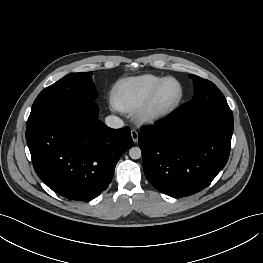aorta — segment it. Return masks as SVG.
I'll list each match as a JSON object with an SVG mask.
<instances>
[{
	"mask_svg": "<svg viewBox=\"0 0 263 263\" xmlns=\"http://www.w3.org/2000/svg\"><path fill=\"white\" fill-rule=\"evenodd\" d=\"M129 156L132 159H139L141 157V150H140V148L139 147H132L129 150Z\"/></svg>",
	"mask_w": 263,
	"mask_h": 263,
	"instance_id": "762f6f07",
	"label": "aorta"
}]
</instances>
